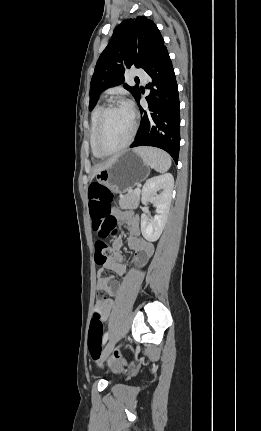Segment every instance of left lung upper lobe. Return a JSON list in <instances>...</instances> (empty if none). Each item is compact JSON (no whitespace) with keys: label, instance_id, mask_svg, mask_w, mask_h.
Instances as JSON below:
<instances>
[{"label":"left lung upper lobe","instance_id":"5c2ea615","mask_svg":"<svg viewBox=\"0 0 261 431\" xmlns=\"http://www.w3.org/2000/svg\"><path fill=\"white\" fill-rule=\"evenodd\" d=\"M164 46V40L152 20L144 16L128 19L117 26L112 38L101 53L90 84L89 110H92L101 92L124 82V72L135 66L146 69L157 52ZM124 88L134 98L140 92L138 86Z\"/></svg>","mask_w":261,"mask_h":431}]
</instances>
